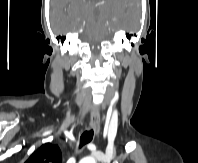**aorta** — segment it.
Segmentation results:
<instances>
[{
  "label": "aorta",
  "instance_id": "1",
  "mask_svg": "<svg viewBox=\"0 0 198 163\" xmlns=\"http://www.w3.org/2000/svg\"><path fill=\"white\" fill-rule=\"evenodd\" d=\"M79 163H96V160L92 157H85Z\"/></svg>",
  "mask_w": 198,
  "mask_h": 163
}]
</instances>
